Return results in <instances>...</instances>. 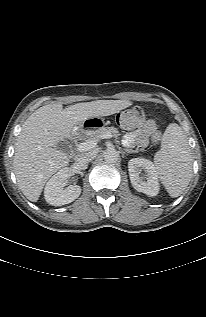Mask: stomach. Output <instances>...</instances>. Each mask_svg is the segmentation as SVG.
<instances>
[{
	"label": "stomach",
	"mask_w": 206,
	"mask_h": 317,
	"mask_svg": "<svg viewBox=\"0 0 206 317\" xmlns=\"http://www.w3.org/2000/svg\"><path fill=\"white\" fill-rule=\"evenodd\" d=\"M119 114V112H118ZM116 116L113 114L90 115L78 122L77 130L81 136L86 137L87 133L95 134L102 128L109 129L116 127Z\"/></svg>",
	"instance_id": "1"
}]
</instances>
